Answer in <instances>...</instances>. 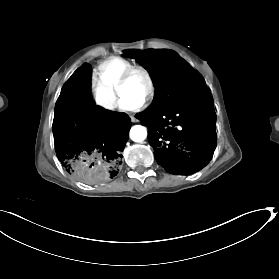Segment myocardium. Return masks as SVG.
Wrapping results in <instances>:
<instances>
[{"label": "myocardium", "mask_w": 279, "mask_h": 279, "mask_svg": "<svg viewBox=\"0 0 279 279\" xmlns=\"http://www.w3.org/2000/svg\"><path fill=\"white\" fill-rule=\"evenodd\" d=\"M136 74H140V75L144 76V78L147 81L148 89H147L146 96L143 100V104H146L149 101H151L152 98L154 97L155 83H154L151 73L147 69H145L141 66H131L122 73V75L120 76V78L118 80V84H117V94L119 97H121V92H122L123 88L128 84V82L131 80V78Z\"/></svg>", "instance_id": "myocardium-1"}]
</instances>
